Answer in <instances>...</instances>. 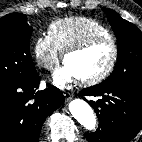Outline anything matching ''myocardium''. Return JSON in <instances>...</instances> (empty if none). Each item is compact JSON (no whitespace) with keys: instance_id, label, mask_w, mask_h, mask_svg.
<instances>
[{"instance_id":"myocardium-1","label":"myocardium","mask_w":142,"mask_h":142,"mask_svg":"<svg viewBox=\"0 0 142 142\" xmlns=\"http://www.w3.org/2000/svg\"><path fill=\"white\" fill-rule=\"evenodd\" d=\"M99 41H108L111 43L113 49L111 59L108 65L105 67V69H103L100 73L86 78H79V81L84 85L91 86L98 84L105 80L112 73L119 56V47L117 41L112 35L106 36L96 34L86 37L85 39L69 46L67 49L63 51L62 59L63 61H65L68 55L83 51L90 47L92 44Z\"/></svg>"}]
</instances>
